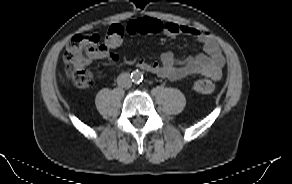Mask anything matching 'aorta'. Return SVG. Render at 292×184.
I'll use <instances>...</instances> for the list:
<instances>
[{
  "label": "aorta",
  "instance_id": "762f6f07",
  "mask_svg": "<svg viewBox=\"0 0 292 184\" xmlns=\"http://www.w3.org/2000/svg\"><path fill=\"white\" fill-rule=\"evenodd\" d=\"M132 80L135 81V82H138L141 80V74L138 73V72H135L132 74Z\"/></svg>",
  "mask_w": 292,
  "mask_h": 184
}]
</instances>
